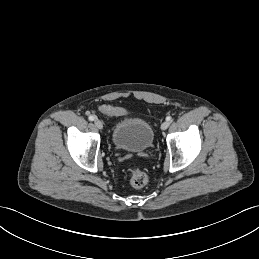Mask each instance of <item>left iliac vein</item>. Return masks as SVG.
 I'll return each mask as SVG.
<instances>
[{
  "label": "left iliac vein",
  "mask_w": 259,
  "mask_h": 259,
  "mask_svg": "<svg viewBox=\"0 0 259 259\" xmlns=\"http://www.w3.org/2000/svg\"><path fill=\"white\" fill-rule=\"evenodd\" d=\"M170 123L168 121H164L162 124H161V129L162 130H166L168 127H169Z\"/></svg>",
  "instance_id": "1"
}]
</instances>
